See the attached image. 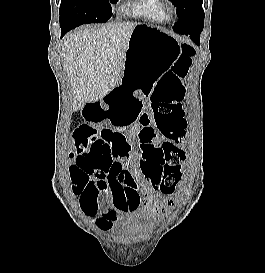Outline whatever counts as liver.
<instances>
[{
    "mask_svg": "<svg viewBox=\"0 0 265 273\" xmlns=\"http://www.w3.org/2000/svg\"><path fill=\"white\" fill-rule=\"evenodd\" d=\"M137 25L86 26L67 36L62 56L74 94V109L101 100L118 84L129 39Z\"/></svg>",
    "mask_w": 265,
    "mask_h": 273,
    "instance_id": "liver-1",
    "label": "liver"
}]
</instances>
